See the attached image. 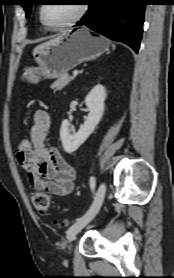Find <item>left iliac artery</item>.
Masks as SVG:
<instances>
[{
  "mask_svg": "<svg viewBox=\"0 0 174 278\" xmlns=\"http://www.w3.org/2000/svg\"><path fill=\"white\" fill-rule=\"evenodd\" d=\"M89 183H90V188H91L92 192H94L95 186H96V179L94 176L90 177Z\"/></svg>",
  "mask_w": 174,
  "mask_h": 278,
  "instance_id": "44dca946",
  "label": "left iliac artery"
}]
</instances>
